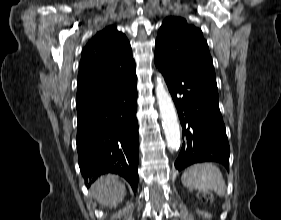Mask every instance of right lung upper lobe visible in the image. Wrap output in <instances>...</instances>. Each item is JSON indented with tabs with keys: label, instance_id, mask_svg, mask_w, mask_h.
<instances>
[{
	"label": "right lung upper lobe",
	"instance_id": "cb5924a9",
	"mask_svg": "<svg viewBox=\"0 0 281 220\" xmlns=\"http://www.w3.org/2000/svg\"><path fill=\"white\" fill-rule=\"evenodd\" d=\"M137 79L131 46L115 26L98 32L84 47L76 104L118 91Z\"/></svg>",
	"mask_w": 281,
	"mask_h": 220
}]
</instances>
